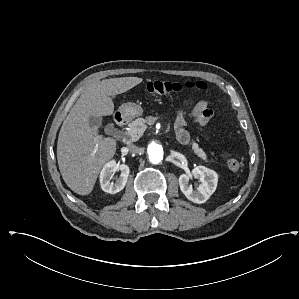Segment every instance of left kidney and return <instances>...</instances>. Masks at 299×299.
I'll list each match as a JSON object with an SVG mask.
<instances>
[{
    "instance_id": "left-kidney-1",
    "label": "left kidney",
    "mask_w": 299,
    "mask_h": 299,
    "mask_svg": "<svg viewBox=\"0 0 299 299\" xmlns=\"http://www.w3.org/2000/svg\"><path fill=\"white\" fill-rule=\"evenodd\" d=\"M195 177L200 185L197 190L189 185V180ZM218 183V175L215 171L204 166L195 167L190 174H182L179 177V186L186 198L194 203H205L215 192Z\"/></svg>"
}]
</instances>
